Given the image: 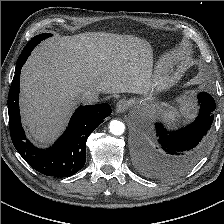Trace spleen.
Returning a JSON list of instances; mask_svg holds the SVG:
<instances>
[{"label": "spleen", "mask_w": 224, "mask_h": 224, "mask_svg": "<svg viewBox=\"0 0 224 224\" xmlns=\"http://www.w3.org/2000/svg\"><path fill=\"white\" fill-rule=\"evenodd\" d=\"M191 110L192 108L190 107L189 102H183L181 104L180 110L179 111H169L166 114V119L168 120H178L181 117H190L191 116Z\"/></svg>", "instance_id": "spleen-1"}]
</instances>
